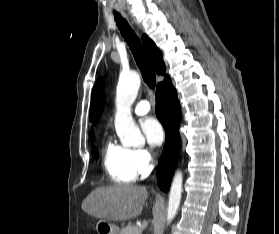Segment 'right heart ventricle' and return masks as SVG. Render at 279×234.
Wrapping results in <instances>:
<instances>
[{
  "mask_svg": "<svg viewBox=\"0 0 279 234\" xmlns=\"http://www.w3.org/2000/svg\"><path fill=\"white\" fill-rule=\"evenodd\" d=\"M103 166L110 180L117 184L133 183L139 174L134 163L133 150L111 139L103 148Z\"/></svg>",
  "mask_w": 279,
  "mask_h": 234,
  "instance_id": "obj_1",
  "label": "right heart ventricle"
}]
</instances>
